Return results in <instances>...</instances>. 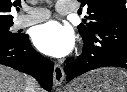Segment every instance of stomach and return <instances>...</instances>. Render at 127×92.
Masks as SVG:
<instances>
[{
	"mask_svg": "<svg viewBox=\"0 0 127 92\" xmlns=\"http://www.w3.org/2000/svg\"><path fill=\"white\" fill-rule=\"evenodd\" d=\"M65 92H127V72L114 67L96 69L74 80Z\"/></svg>",
	"mask_w": 127,
	"mask_h": 92,
	"instance_id": "stomach-1",
	"label": "stomach"
}]
</instances>
